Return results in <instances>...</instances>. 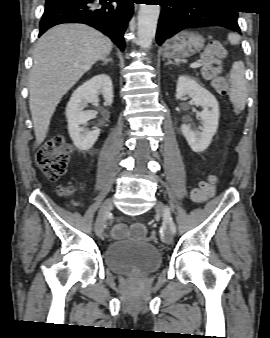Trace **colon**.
<instances>
[{
  "label": "colon",
  "instance_id": "obj_1",
  "mask_svg": "<svg viewBox=\"0 0 270 338\" xmlns=\"http://www.w3.org/2000/svg\"><path fill=\"white\" fill-rule=\"evenodd\" d=\"M226 56L225 45L219 42H213L204 48L201 59L203 62L202 72L211 79L213 87L222 93H225V80L220 74L218 63ZM71 147L61 137L45 142L37 151L36 160L44 174L50 181H56L65 175L68 167L69 153ZM217 176H211L209 180L203 181L199 187L192 192V198L195 202H203L215 191ZM70 188L60 186L58 193L61 196H67ZM152 241H157V236H151Z\"/></svg>",
  "mask_w": 270,
  "mask_h": 338
}]
</instances>
